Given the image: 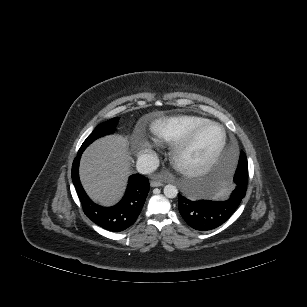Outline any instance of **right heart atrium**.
Wrapping results in <instances>:
<instances>
[{
  "label": "right heart atrium",
  "instance_id": "obj_1",
  "mask_svg": "<svg viewBox=\"0 0 307 307\" xmlns=\"http://www.w3.org/2000/svg\"><path fill=\"white\" fill-rule=\"evenodd\" d=\"M138 157L144 167L146 168L152 167L156 160L154 145L148 140L141 141Z\"/></svg>",
  "mask_w": 307,
  "mask_h": 307
}]
</instances>
